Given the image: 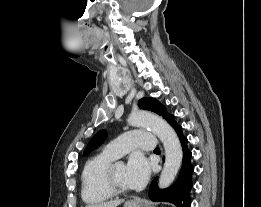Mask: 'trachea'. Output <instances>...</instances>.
I'll return each instance as SVG.
<instances>
[{
  "label": "trachea",
  "instance_id": "obj_1",
  "mask_svg": "<svg viewBox=\"0 0 261 207\" xmlns=\"http://www.w3.org/2000/svg\"><path fill=\"white\" fill-rule=\"evenodd\" d=\"M155 150H160V149L157 147V148H155Z\"/></svg>",
  "mask_w": 261,
  "mask_h": 207
}]
</instances>
